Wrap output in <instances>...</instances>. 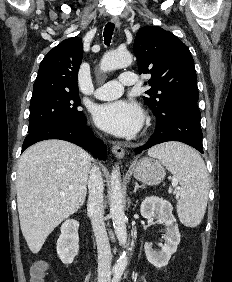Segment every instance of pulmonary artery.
Listing matches in <instances>:
<instances>
[{"label": "pulmonary artery", "instance_id": "pulmonary-artery-1", "mask_svg": "<svg viewBox=\"0 0 232 282\" xmlns=\"http://www.w3.org/2000/svg\"><path fill=\"white\" fill-rule=\"evenodd\" d=\"M137 83V76L131 71L121 73L119 80L109 81L95 90V97L101 100H113L120 97L124 86H132Z\"/></svg>", "mask_w": 232, "mask_h": 282}]
</instances>
